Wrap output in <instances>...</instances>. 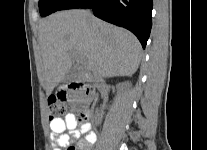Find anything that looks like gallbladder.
Returning a JSON list of instances; mask_svg holds the SVG:
<instances>
[{"label":"gallbladder","mask_w":207,"mask_h":150,"mask_svg":"<svg viewBox=\"0 0 207 150\" xmlns=\"http://www.w3.org/2000/svg\"><path fill=\"white\" fill-rule=\"evenodd\" d=\"M74 77H75V72H74L73 70H71L70 72H68V73L65 75V77H64V79H63L62 82H63V83H66V82L72 80Z\"/></svg>","instance_id":"obj_1"}]
</instances>
